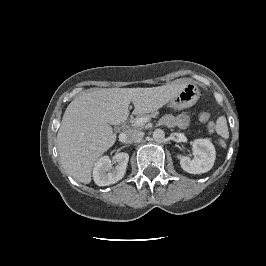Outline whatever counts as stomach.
Instances as JSON below:
<instances>
[{
    "label": "stomach",
    "instance_id": "obj_1",
    "mask_svg": "<svg viewBox=\"0 0 266 266\" xmlns=\"http://www.w3.org/2000/svg\"><path fill=\"white\" fill-rule=\"evenodd\" d=\"M199 89L193 82H186L181 90L170 100L169 105L176 109H184L196 103Z\"/></svg>",
    "mask_w": 266,
    "mask_h": 266
}]
</instances>
